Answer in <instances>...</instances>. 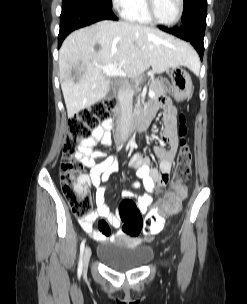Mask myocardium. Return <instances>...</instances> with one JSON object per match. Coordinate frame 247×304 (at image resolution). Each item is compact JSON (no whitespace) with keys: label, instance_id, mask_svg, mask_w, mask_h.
Segmentation results:
<instances>
[{"label":"myocardium","instance_id":"obj_1","mask_svg":"<svg viewBox=\"0 0 247 304\" xmlns=\"http://www.w3.org/2000/svg\"><path fill=\"white\" fill-rule=\"evenodd\" d=\"M145 7H146L148 16L154 23H156L158 25L170 27V26L176 25L181 20L183 12H184L185 1L179 0L178 14H177L176 18L170 22H163L157 17V15L155 13V8H154V0H145Z\"/></svg>","mask_w":247,"mask_h":304}]
</instances>
